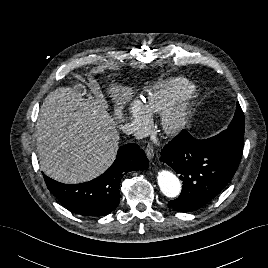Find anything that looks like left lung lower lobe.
<instances>
[{
  "mask_svg": "<svg viewBox=\"0 0 268 268\" xmlns=\"http://www.w3.org/2000/svg\"><path fill=\"white\" fill-rule=\"evenodd\" d=\"M241 155L212 138L199 140L182 130L161 152L160 160L171 166L183 181L180 196L168 204L181 212L206 205L232 179Z\"/></svg>",
  "mask_w": 268,
  "mask_h": 268,
  "instance_id": "1",
  "label": "left lung lower lobe"
}]
</instances>
